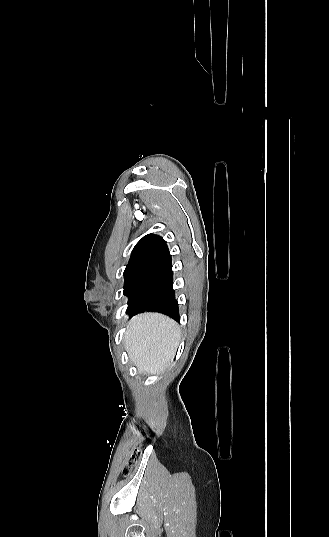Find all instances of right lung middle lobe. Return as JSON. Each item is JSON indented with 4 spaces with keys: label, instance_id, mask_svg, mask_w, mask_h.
<instances>
[{
    "label": "right lung middle lobe",
    "instance_id": "obj_1",
    "mask_svg": "<svg viewBox=\"0 0 329 537\" xmlns=\"http://www.w3.org/2000/svg\"><path fill=\"white\" fill-rule=\"evenodd\" d=\"M147 267V264H132L127 265L124 271V294L127 295L135 279Z\"/></svg>",
    "mask_w": 329,
    "mask_h": 537
}]
</instances>
